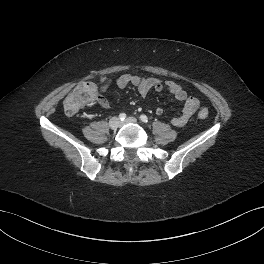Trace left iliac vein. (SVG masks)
Listing matches in <instances>:
<instances>
[{
    "instance_id": "left-iliac-vein-1",
    "label": "left iliac vein",
    "mask_w": 264,
    "mask_h": 264,
    "mask_svg": "<svg viewBox=\"0 0 264 264\" xmlns=\"http://www.w3.org/2000/svg\"><path fill=\"white\" fill-rule=\"evenodd\" d=\"M126 123H137V119L134 117H128L125 121H123L121 124H126Z\"/></svg>"
}]
</instances>
